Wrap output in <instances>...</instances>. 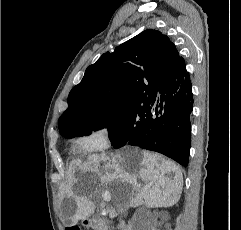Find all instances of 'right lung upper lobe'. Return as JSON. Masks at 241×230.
<instances>
[{
    "label": "right lung upper lobe",
    "instance_id": "1",
    "mask_svg": "<svg viewBox=\"0 0 241 230\" xmlns=\"http://www.w3.org/2000/svg\"><path fill=\"white\" fill-rule=\"evenodd\" d=\"M182 57L168 36L148 29L104 53L87 67L68 96L58 120L60 133L81 122L106 117L118 108L138 107L151 100L166 73Z\"/></svg>",
    "mask_w": 241,
    "mask_h": 230
}]
</instances>
